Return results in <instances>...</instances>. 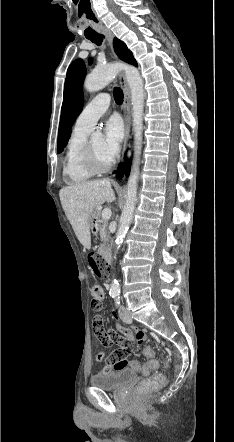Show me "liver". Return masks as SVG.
Wrapping results in <instances>:
<instances>
[{
  "mask_svg": "<svg viewBox=\"0 0 234 442\" xmlns=\"http://www.w3.org/2000/svg\"><path fill=\"white\" fill-rule=\"evenodd\" d=\"M63 210L76 237L85 249L91 248L89 220L94 208L115 200V193L108 179L64 187L59 192Z\"/></svg>",
  "mask_w": 234,
  "mask_h": 442,
  "instance_id": "1",
  "label": "liver"
}]
</instances>
